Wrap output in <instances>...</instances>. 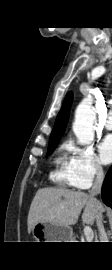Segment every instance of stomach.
<instances>
[{
    "instance_id": "1",
    "label": "stomach",
    "mask_w": 112,
    "mask_h": 270,
    "mask_svg": "<svg viewBox=\"0 0 112 270\" xmlns=\"http://www.w3.org/2000/svg\"><path fill=\"white\" fill-rule=\"evenodd\" d=\"M36 242H73V231L70 226L54 223H38L32 229Z\"/></svg>"
}]
</instances>
